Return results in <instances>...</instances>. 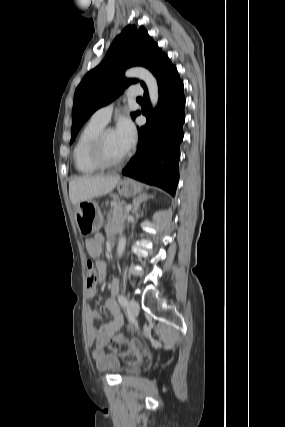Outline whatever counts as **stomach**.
I'll use <instances>...</instances> for the list:
<instances>
[{"instance_id":"1","label":"stomach","mask_w":285,"mask_h":427,"mask_svg":"<svg viewBox=\"0 0 285 427\" xmlns=\"http://www.w3.org/2000/svg\"><path fill=\"white\" fill-rule=\"evenodd\" d=\"M119 195L133 197L143 191L141 184L131 179H122L117 183ZM76 222L83 234L96 232L104 222L96 202H83L76 207Z\"/></svg>"}]
</instances>
